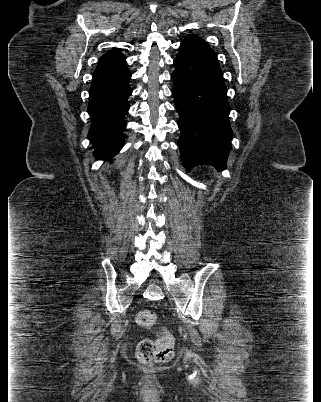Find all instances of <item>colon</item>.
<instances>
[{
  "instance_id": "5ec220e1",
  "label": "colon",
  "mask_w": 321,
  "mask_h": 402,
  "mask_svg": "<svg viewBox=\"0 0 321 402\" xmlns=\"http://www.w3.org/2000/svg\"><path fill=\"white\" fill-rule=\"evenodd\" d=\"M136 323L144 329H152L157 323V315L150 310H141L136 315ZM174 339L167 331L156 339H143L136 348L137 359L145 365L169 361L173 356Z\"/></svg>"
}]
</instances>
